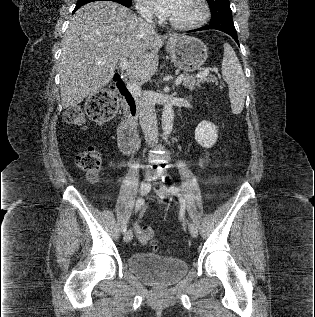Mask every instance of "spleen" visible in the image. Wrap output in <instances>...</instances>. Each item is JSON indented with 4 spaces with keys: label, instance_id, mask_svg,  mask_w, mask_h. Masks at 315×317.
<instances>
[{
    "label": "spleen",
    "instance_id": "obj_1",
    "mask_svg": "<svg viewBox=\"0 0 315 317\" xmlns=\"http://www.w3.org/2000/svg\"><path fill=\"white\" fill-rule=\"evenodd\" d=\"M221 71L223 79L229 87L232 112L234 114H240L244 108L247 85L239 59L228 43L224 44V56Z\"/></svg>",
    "mask_w": 315,
    "mask_h": 317
}]
</instances>
